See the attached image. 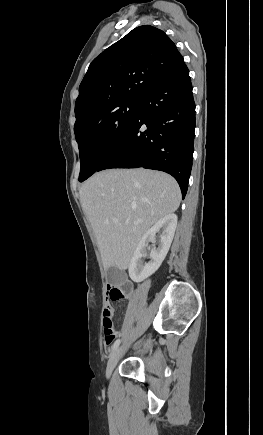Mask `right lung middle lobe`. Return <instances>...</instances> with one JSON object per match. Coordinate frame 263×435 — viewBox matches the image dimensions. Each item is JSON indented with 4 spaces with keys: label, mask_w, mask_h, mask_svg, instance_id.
Wrapping results in <instances>:
<instances>
[{
    "label": "right lung middle lobe",
    "mask_w": 263,
    "mask_h": 435,
    "mask_svg": "<svg viewBox=\"0 0 263 435\" xmlns=\"http://www.w3.org/2000/svg\"><path fill=\"white\" fill-rule=\"evenodd\" d=\"M142 100L126 99L108 104L74 128L80 154L79 181L94 174L130 128Z\"/></svg>",
    "instance_id": "dd1d6c3e"
}]
</instances>
